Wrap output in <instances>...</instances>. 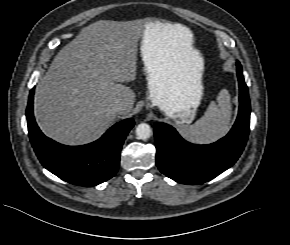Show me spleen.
Returning <instances> with one entry per match:
<instances>
[{
  "mask_svg": "<svg viewBox=\"0 0 290 245\" xmlns=\"http://www.w3.org/2000/svg\"><path fill=\"white\" fill-rule=\"evenodd\" d=\"M230 119V95L226 89H223L217 96V104L212 101L203 117L193 125L180 127V133L183 137L195 143L214 142L227 133Z\"/></svg>",
  "mask_w": 290,
  "mask_h": 245,
  "instance_id": "spleen-1",
  "label": "spleen"
}]
</instances>
